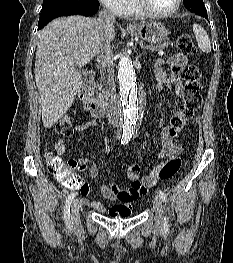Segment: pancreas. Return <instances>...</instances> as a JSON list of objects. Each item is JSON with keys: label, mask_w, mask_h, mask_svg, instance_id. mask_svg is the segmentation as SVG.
I'll return each mask as SVG.
<instances>
[{"label": "pancreas", "mask_w": 233, "mask_h": 263, "mask_svg": "<svg viewBox=\"0 0 233 263\" xmlns=\"http://www.w3.org/2000/svg\"><path fill=\"white\" fill-rule=\"evenodd\" d=\"M140 45H143V43L141 42ZM169 45H171L170 42H164L162 45H159V46H152V45H149V46H146L147 49L149 50H163L165 47H168ZM102 82H103V79L101 78L96 85H94V89H95V93L97 96L99 97H102Z\"/></svg>", "instance_id": "cf45deb5"}]
</instances>
